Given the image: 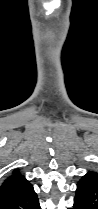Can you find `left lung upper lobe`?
<instances>
[{"mask_svg": "<svg viewBox=\"0 0 98 209\" xmlns=\"http://www.w3.org/2000/svg\"><path fill=\"white\" fill-rule=\"evenodd\" d=\"M83 177H93V178H95V179L98 180V173L93 172V171H89V172H87V174H86L85 176H83Z\"/></svg>", "mask_w": 98, "mask_h": 209, "instance_id": "obj_1", "label": "left lung upper lobe"}]
</instances>
